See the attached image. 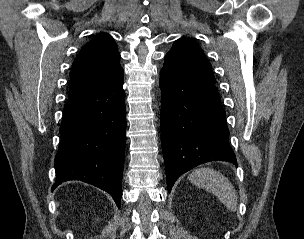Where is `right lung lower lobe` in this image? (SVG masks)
Segmentation results:
<instances>
[{
    "mask_svg": "<svg viewBox=\"0 0 304 239\" xmlns=\"http://www.w3.org/2000/svg\"><path fill=\"white\" fill-rule=\"evenodd\" d=\"M123 72L63 109L56 182L81 180L111 194L120 207L125 159L126 108Z\"/></svg>",
    "mask_w": 304,
    "mask_h": 239,
    "instance_id": "right-lung-lower-lobe-1",
    "label": "right lung lower lobe"
}]
</instances>
